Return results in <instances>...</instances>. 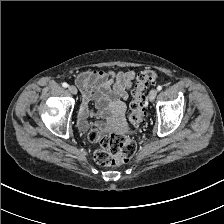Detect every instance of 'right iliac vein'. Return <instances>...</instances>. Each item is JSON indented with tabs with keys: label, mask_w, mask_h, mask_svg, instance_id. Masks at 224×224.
<instances>
[{
	"label": "right iliac vein",
	"mask_w": 224,
	"mask_h": 224,
	"mask_svg": "<svg viewBox=\"0 0 224 224\" xmlns=\"http://www.w3.org/2000/svg\"><path fill=\"white\" fill-rule=\"evenodd\" d=\"M68 90H69L70 93H72V94H77V88H76L75 86H73V85H70V86L68 87Z\"/></svg>",
	"instance_id": "63e3f726"
}]
</instances>
